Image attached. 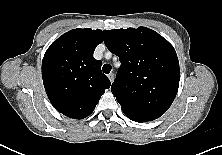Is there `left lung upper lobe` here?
I'll return each mask as SVG.
<instances>
[{
	"instance_id": "1",
	"label": "left lung upper lobe",
	"mask_w": 222,
	"mask_h": 155,
	"mask_svg": "<svg viewBox=\"0 0 222 155\" xmlns=\"http://www.w3.org/2000/svg\"><path fill=\"white\" fill-rule=\"evenodd\" d=\"M105 45L121 62L111 86L122 110L154 120L171 106L179 87L173 46L146 27L104 30Z\"/></svg>"
}]
</instances>
